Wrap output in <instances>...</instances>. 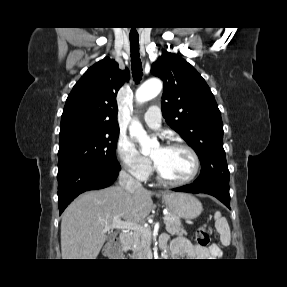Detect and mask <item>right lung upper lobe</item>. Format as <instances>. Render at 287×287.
<instances>
[{
  "label": "right lung upper lobe",
  "instance_id": "1",
  "mask_svg": "<svg viewBox=\"0 0 287 287\" xmlns=\"http://www.w3.org/2000/svg\"><path fill=\"white\" fill-rule=\"evenodd\" d=\"M129 79V72L105 57L91 66L74 85L63 110L60 128L89 124L99 128L119 129L116 95Z\"/></svg>",
  "mask_w": 287,
  "mask_h": 287
}]
</instances>
